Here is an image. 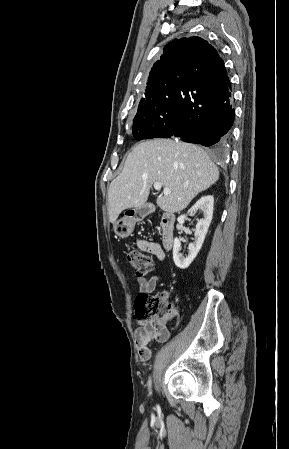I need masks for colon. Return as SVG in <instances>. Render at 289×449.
Returning a JSON list of instances; mask_svg holds the SVG:
<instances>
[{
	"label": "colon",
	"mask_w": 289,
	"mask_h": 449,
	"mask_svg": "<svg viewBox=\"0 0 289 449\" xmlns=\"http://www.w3.org/2000/svg\"><path fill=\"white\" fill-rule=\"evenodd\" d=\"M127 259L139 276H146L153 270L152 259L141 251H129ZM135 305L138 315L146 318L156 331L160 333L167 331L165 324L174 315V310L165 296L140 293Z\"/></svg>",
	"instance_id": "1"
}]
</instances>
